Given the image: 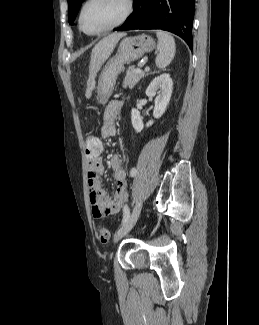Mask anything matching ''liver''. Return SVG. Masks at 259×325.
I'll list each match as a JSON object with an SVG mask.
<instances>
[{"label": "liver", "mask_w": 259, "mask_h": 325, "mask_svg": "<svg viewBox=\"0 0 259 325\" xmlns=\"http://www.w3.org/2000/svg\"><path fill=\"white\" fill-rule=\"evenodd\" d=\"M125 35L126 33H113L103 38L95 45V47L92 49L91 61H90L91 78L95 76L96 72L100 69L102 64L111 55L120 38H122ZM93 88H94V83L90 82L88 84V88L86 91L87 98L91 96V92Z\"/></svg>", "instance_id": "liver-1"}]
</instances>
